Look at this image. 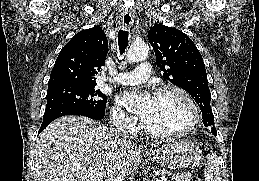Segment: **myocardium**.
Returning <instances> with one entry per match:
<instances>
[{
  "label": "myocardium",
  "mask_w": 259,
  "mask_h": 181,
  "mask_svg": "<svg viewBox=\"0 0 259 181\" xmlns=\"http://www.w3.org/2000/svg\"><path fill=\"white\" fill-rule=\"evenodd\" d=\"M166 92H174L186 102L190 110L189 122L184 127L175 130H156L149 127L144 120H142L141 126L146 133L155 137H175L185 135L192 131L198 124L200 118L199 109L191 95L185 89L175 84H165L158 87L154 91V96H159Z\"/></svg>",
  "instance_id": "myocardium-1"
}]
</instances>
